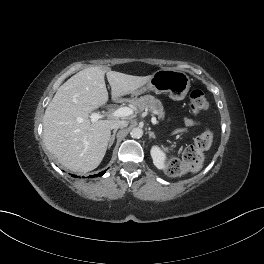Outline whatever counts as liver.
Segmentation results:
<instances>
[{"label":"liver","instance_id":"obj_1","mask_svg":"<svg viewBox=\"0 0 264 264\" xmlns=\"http://www.w3.org/2000/svg\"><path fill=\"white\" fill-rule=\"evenodd\" d=\"M105 74L112 98L127 95L147 84L149 76H133L103 67L86 68L59 87L47 106L43 136L47 149L66 168L89 172L105 156L112 125L118 118L92 122L90 113L108 101Z\"/></svg>","mask_w":264,"mask_h":264}]
</instances>
